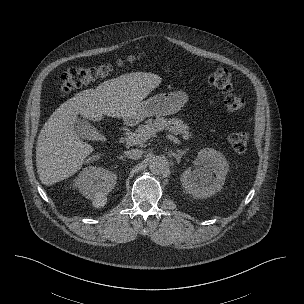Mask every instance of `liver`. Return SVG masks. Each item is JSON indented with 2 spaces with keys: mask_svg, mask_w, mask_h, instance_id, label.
I'll use <instances>...</instances> for the list:
<instances>
[{
  "mask_svg": "<svg viewBox=\"0 0 304 304\" xmlns=\"http://www.w3.org/2000/svg\"><path fill=\"white\" fill-rule=\"evenodd\" d=\"M162 78L153 73L134 72L87 89L60 105L41 129L36 147V166L44 185H53L81 169L96 156L93 147L74 130L78 115L98 122L104 115L132 119L139 103L160 85Z\"/></svg>",
  "mask_w": 304,
  "mask_h": 304,
  "instance_id": "6515ba94",
  "label": "liver"
}]
</instances>
